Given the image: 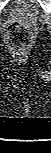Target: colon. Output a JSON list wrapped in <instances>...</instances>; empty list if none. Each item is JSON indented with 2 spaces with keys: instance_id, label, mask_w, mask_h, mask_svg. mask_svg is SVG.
I'll return each instance as SVG.
<instances>
[{
  "instance_id": "5ec220e1",
  "label": "colon",
  "mask_w": 51,
  "mask_h": 153,
  "mask_svg": "<svg viewBox=\"0 0 51 153\" xmlns=\"http://www.w3.org/2000/svg\"><path fill=\"white\" fill-rule=\"evenodd\" d=\"M6 39L14 51H23L31 45L32 34L24 24L13 22L6 28Z\"/></svg>"
}]
</instances>
